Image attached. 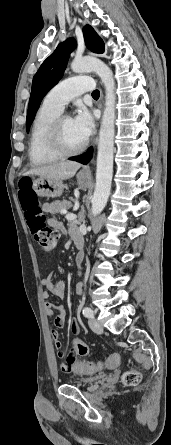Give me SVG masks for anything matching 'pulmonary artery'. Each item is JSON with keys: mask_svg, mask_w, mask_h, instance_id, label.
Segmentation results:
<instances>
[{"mask_svg": "<svg viewBox=\"0 0 171 445\" xmlns=\"http://www.w3.org/2000/svg\"><path fill=\"white\" fill-rule=\"evenodd\" d=\"M93 88L94 84L91 77H71L55 85L45 96L44 104L62 111L64 106L76 96L90 92Z\"/></svg>", "mask_w": 171, "mask_h": 445, "instance_id": "pulmonary-artery-1", "label": "pulmonary artery"}]
</instances>
